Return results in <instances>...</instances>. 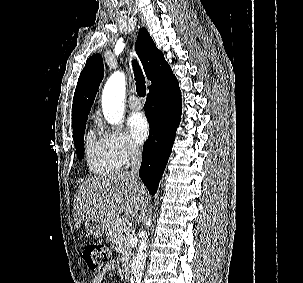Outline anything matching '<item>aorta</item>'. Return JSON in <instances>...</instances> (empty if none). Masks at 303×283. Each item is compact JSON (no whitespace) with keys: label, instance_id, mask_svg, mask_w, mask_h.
Returning <instances> with one entry per match:
<instances>
[{"label":"aorta","instance_id":"obj_1","mask_svg":"<svg viewBox=\"0 0 303 283\" xmlns=\"http://www.w3.org/2000/svg\"><path fill=\"white\" fill-rule=\"evenodd\" d=\"M125 76L122 72H114L106 82L102 93V109L105 119L110 124H118L124 113ZM150 226V218L146 222ZM140 243L131 262L130 283H141L143 269L147 258L148 231L140 232Z\"/></svg>","mask_w":303,"mask_h":283}]
</instances>
